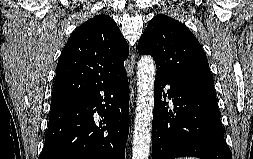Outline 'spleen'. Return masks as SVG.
<instances>
[{"mask_svg":"<svg viewBox=\"0 0 253 159\" xmlns=\"http://www.w3.org/2000/svg\"><path fill=\"white\" fill-rule=\"evenodd\" d=\"M177 159H197L195 157L177 158Z\"/></svg>","mask_w":253,"mask_h":159,"instance_id":"3e777b00","label":"spleen"}]
</instances>
